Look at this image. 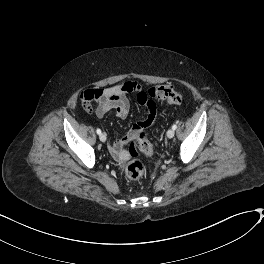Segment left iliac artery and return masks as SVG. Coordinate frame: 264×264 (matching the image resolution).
I'll use <instances>...</instances> for the list:
<instances>
[{
  "instance_id": "obj_1",
  "label": "left iliac artery",
  "mask_w": 264,
  "mask_h": 264,
  "mask_svg": "<svg viewBox=\"0 0 264 264\" xmlns=\"http://www.w3.org/2000/svg\"><path fill=\"white\" fill-rule=\"evenodd\" d=\"M177 128V125L176 124H174L173 126H172V129H176Z\"/></svg>"
}]
</instances>
